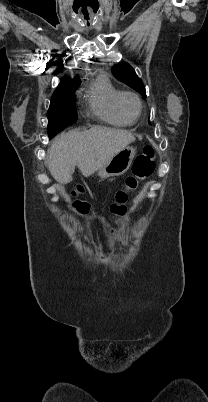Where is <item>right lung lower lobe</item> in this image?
I'll list each match as a JSON object with an SVG mask.
<instances>
[{
    "instance_id": "right-lung-lower-lobe-1",
    "label": "right lung lower lobe",
    "mask_w": 208,
    "mask_h": 402,
    "mask_svg": "<svg viewBox=\"0 0 208 402\" xmlns=\"http://www.w3.org/2000/svg\"><path fill=\"white\" fill-rule=\"evenodd\" d=\"M65 127H67V125L63 124L61 121L48 123L47 131L49 138L51 139L52 137H54L58 132H60Z\"/></svg>"
}]
</instances>
